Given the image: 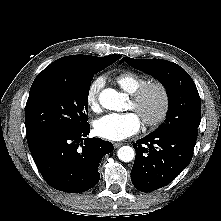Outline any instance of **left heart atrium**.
Wrapping results in <instances>:
<instances>
[{"label": "left heart atrium", "mask_w": 221, "mask_h": 221, "mask_svg": "<svg viewBox=\"0 0 221 221\" xmlns=\"http://www.w3.org/2000/svg\"><path fill=\"white\" fill-rule=\"evenodd\" d=\"M141 127V120L137 113H110L99 118L94 126L98 136L111 140L120 141L136 134Z\"/></svg>", "instance_id": "39dd6f15"}]
</instances>
